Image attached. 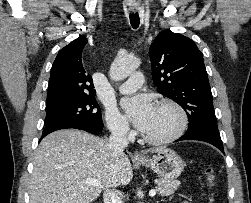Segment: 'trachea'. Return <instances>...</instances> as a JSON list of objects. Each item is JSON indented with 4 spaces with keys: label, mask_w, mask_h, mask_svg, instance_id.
Returning <instances> with one entry per match:
<instances>
[{
    "label": "trachea",
    "mask_w": 251,
    "mask_h": 203,
    "mask_svg": "<svg viewBox=\"0 0 251 203\" xmlns=\"http://www.w3.org/2000/svg\"><path fill=\"white\" fill-rule=\"evenodd\" d=\"M130 23L134 29H137L139 27L140 18L138 13L130 14Z\"/></svg>",
    "instance_id": "obj_1"
}]
</instances>
